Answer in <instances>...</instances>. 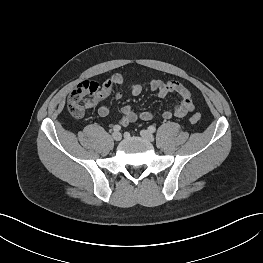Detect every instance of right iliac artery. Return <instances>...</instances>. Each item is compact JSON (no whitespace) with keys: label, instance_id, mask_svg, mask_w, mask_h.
Here are the masks:
<instances>
[{"label":"right iliac artery","instance_id":"1","mask_svg":"<svg viewBox=\"0 0 263 263\" xmlns=\"http://www.w3.org/2000/svg\"><path fill=\"white\" fill-rule=\"evenodd\" d=\"M113 130H114L115 132H119V131L121 130V126H120V125H115V126L113 127Z\"/></svg>","mask_w":263,"mask_h":263}]
</instances>
